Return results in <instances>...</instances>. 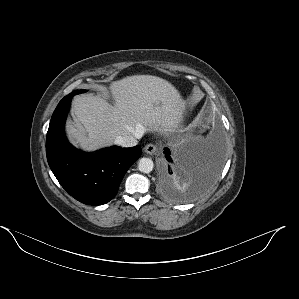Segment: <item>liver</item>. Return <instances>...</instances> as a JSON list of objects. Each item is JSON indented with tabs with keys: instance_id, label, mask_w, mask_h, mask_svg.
<instances>
[{
	"instance_id": "liver-1",
	"label": "liver",
	"mask_w": 299,
	"mask_h": 299,
	"mask_svg": "<svg viewBox=\"0 0 299 299\" xmlns=\"http://www.w3.org/2000/svg\"><path fill=\"white\" fill-rule=\"evenodd\" d=\"M109 89L114 105L93 94L73 99L75 119L68 121L66 132L85 151L110 146L118 136L174 131L183 118L185 100L160 77L128 76L111 83Z\"/></svg>"
}]
</instances>
